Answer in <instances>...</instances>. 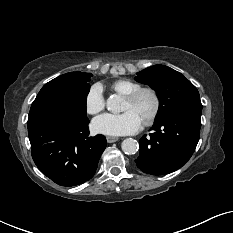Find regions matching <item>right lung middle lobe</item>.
Segmentation results:
<instances>
[{
    "label": "right lung middle lobe",
    "mask_w": 233,
    "mask_h": 233,
    "mask_svg": "<svg viewBox=\"0 0 233 233\" xmlns=\"http://www.w3.org/2000/svg\"><path fill=\"white\" fill-rule=\"evenodd\" d=\"M92 74L71 72L46 83L31 105L29 116L43 109H65L86 117V100Z\"/></svg>",
    "instance_id": "right-lung-middle-lobe-1"
}]
</instances>
